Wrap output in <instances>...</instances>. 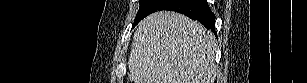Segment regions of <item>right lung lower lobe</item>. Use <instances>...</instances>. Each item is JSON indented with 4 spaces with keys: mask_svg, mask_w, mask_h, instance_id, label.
I'll use <instances>...</instances> for the list:
<instances>
[{
    "mask_svg": "<svg viewBox=\"0 0 307 83\" xmlns=\"http://www.w3.org/2000/svg\"><path fill=\"white\" fill-rule=\"evenodd\" d=\"M158 10H171L200 21L207 29L215 31V17L206 0H155L148 14Z\"/></svg>",
    "mask_w": 307,
    "mask_h": 83,
    "instance_id": "obj_1",
    "label": "right lung lower lobe"
}]
</instances>
